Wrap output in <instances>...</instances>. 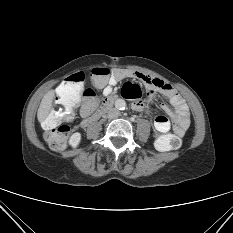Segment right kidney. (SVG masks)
Segmentation results:
<instances>
[{
	"label": "right kidney",
	"instance_id": "obj_1",
	"mask_svg": "<svg viewBox=\"0 0 233 233\" xmlns=\"http://www.w3.org/2000/svg\"><path fill=\"white\" fill-rule=\"evenodd\" d=\"M81 141V134L79 132H75L71 135L69 139V144L72 148H76Z\"/></svg>",
	"mask_w": 233,
	"mask_h": 233
}]
</instances>
